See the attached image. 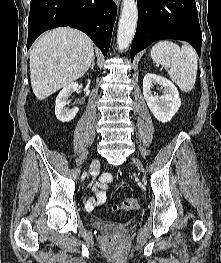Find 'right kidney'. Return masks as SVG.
I'll use <instances>...</instances> for the list:
<instances>
[{
  "instance_id": "ca27d5eb",
  "label": "right kidney",
  "mask_w": 221,
  "mask_h": 263,
  "mask_svg": "<svg viewBox=\"0 0 221 263\" xmlns=\"http://www.w3.org/2000/svg\"><path fill=\"white\" fill-rule=\"evenodd\" d=\"M78 88V83H70L67 86H65L56 97L55 115L59 121L63 123L70 122L78 113V107L72 109L66 108L68 97L73 92L77 91Z\"/></svg>"
}]
</instances>
